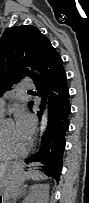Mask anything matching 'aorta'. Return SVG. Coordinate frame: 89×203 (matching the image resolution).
<instances>
[{
    "label": "aorta",
    "instance_id": "aorta-1",
    "mask_svg": "<svg viewBox=\"0 0 89 203\" xmlns=\"http://www.w3.org/2000/svg\"><path fill=\"white\" fill-rule=\"evenodd\" d=\"M47 124H48V108H47V105H46V108H45V110L43 112V115H42V118H41V121H40L39 138H38V144H37V147H36V151H38L39 148H40L41 137L46 131Z\"/></svg>",
    "mask_w": 89,
    "mask_h": 203
}]
</instances>
